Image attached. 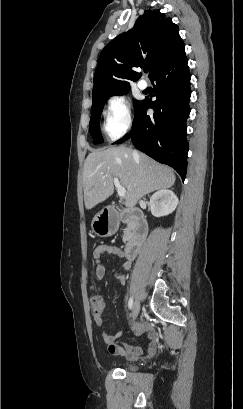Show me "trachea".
<instances>
[{
	"label": "trachea",
	"instance_id": "3493384b",
	"mask_svg": "<svg viewBox=\"0 0 243 409\" xmlns=\"http://www.w3.org/2000/svg\"><path fill=\"white\" fill-rule=\"evenodd\" d=\"M144 72L147 73V72H148V68H144Z\"/></svg>",
	"mask_w": 243,
	"mask_h": 409
}]
</instances>
